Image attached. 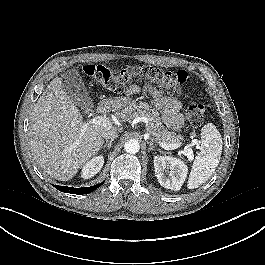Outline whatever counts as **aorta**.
<instances>
[{
    "mask_svg": "<svg viewBox=\"0 0 265 265\" xmlns=\"http://www.w3.org/2000/svg\"><path fill=\"white\" fill-rule=\"evenodd\" d=\"M124 149L127 153L136 154L140 149V144L137 140L130 139L125 143Z\"/></svg>",
    "mask_w": 265,
    "mask_h": 265,
    "instance_id": "aorta-1",
    "label": "aorta"
}]
</instances>
